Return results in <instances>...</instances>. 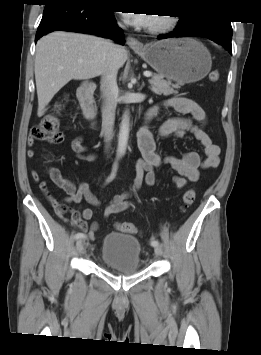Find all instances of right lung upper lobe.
<instances>
[{
    "mask_svg": "<svg viewBox=\"0 0 261 355\" xmlns=\"http://www.w3.org/2000/svg\"><path fill=\"white\" fill-rule=\"evenodd\" d=\"M46 2L54 1V0H45Z\"/></svg>",
    "mask_w": 261,
    "mask_h": 355,
    "instance_id": "1",
    "label": "right lung upper lobe"
}]
</instances>
